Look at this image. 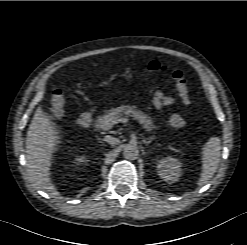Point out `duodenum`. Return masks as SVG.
<instances>
[{"mask_svg":"<svg viewBox=\"0 0 247 245\" xmlns=\"http://www.w3.org/2000/svg\"><path fill=\"white\" fill-rule=\"evenodd\" d=\"M92 115V111L89 110L82 112L77 119L78 126L83 128L90 126L92 123Z\"/></svg>","mask_w":247,"mask_h":245,"instance_id":"duodenum-1","label":"duodenum"}]
</instances>
